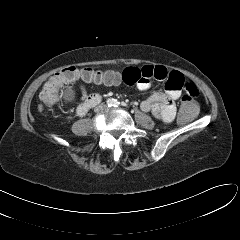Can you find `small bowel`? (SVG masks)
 <instances>
[{"mask_svg": "<svg viewBox=\"0 0 240 240\" xmlns=\"http://www.w3.org/2000/svg\"><path fill=\"white\" fill-rule=\"evenodd\" d=\"M151 79L165 81V92H155L144 100L140 108L144 112H152L156 118L164 123L171 122L176 115L175 102L182 92L188 96L198 95L197 87L188 82L178 71H169L164 66L145 65L142 67H128L121 74L106 72L94 83L98 85L113 86L120 83L136 85L141 91L151 86ZM81 100L85 102L89 97L85 86L80 85Z\"/></svg>", "mask_w": 240, "mask_h": 240, "instance_id": "obj_1", "label": "small bowel"}]
</instances>
